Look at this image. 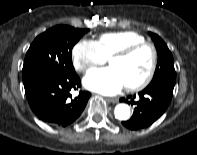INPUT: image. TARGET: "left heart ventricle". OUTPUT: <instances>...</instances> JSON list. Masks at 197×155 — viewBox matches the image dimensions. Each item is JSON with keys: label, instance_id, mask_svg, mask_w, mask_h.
<instances>
[{"label": "left heart ventricle", "instance_id": "obj_1", "mask_svg": "<svg viewBox=\"0 0 197 155\" xmlns=\"http://www.w3.org/2000/svg\"><path fill=\"white\" fill-rule=\"evenodd\" d=\"M110 65L120 73L125 85L136 84L140 82L149 71L151 52L146 48L141 49L128 57L114 58L110 62Z\"/></svg>", "mask_w": 197, "mask_h": 155}]
</instances>
